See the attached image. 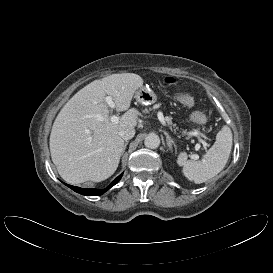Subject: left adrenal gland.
<instances>
[{
  "label": "left adrenal gland",
  "mask_w": 273,
  "mask_h": 273,
  "mask_svg": "<svg viewBox=\"0 0 273 273\" xmlns=\"http://www.w3.org/2000/svg\"><path fill=\"white\" fill-rule=\"evenodd\" d=\"M165 136H166V141H167V146L169 147L170 151H173V146L176 149V144L173 141V139H171V137L169 136V134L167 132H164Z\"/></svg>",
  "instance_id": "obj_1"
}]
</instances>
